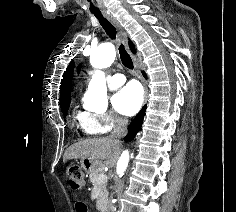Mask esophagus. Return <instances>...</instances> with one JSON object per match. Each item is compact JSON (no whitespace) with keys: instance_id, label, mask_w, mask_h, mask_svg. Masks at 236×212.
Wrapping results in <instances>:
<instances>
[{"instance_id":"obj_1","label":"esophagus","mask_w":236,"mask_h":212,"mask_svg":"<svg viewBox=\"0 0 236 212\" xmlns=\"http://www.w3.org/2000/svg\"><path fill=\"white\" fill-rule=\"evenodd\" d=\"M104 16L114 25L118 32V37L122 41V43L128 48V38H127V33L125 30L122 28L120 23L117 21V19L112 16L111 14L104 13Z\"/></svg>"}]
</instances>
